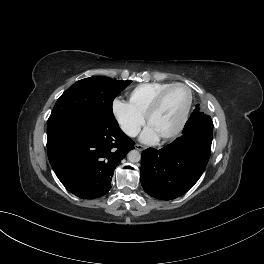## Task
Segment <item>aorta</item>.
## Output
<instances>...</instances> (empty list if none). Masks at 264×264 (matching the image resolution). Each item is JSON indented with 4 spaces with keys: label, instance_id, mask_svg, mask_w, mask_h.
I'll list each match as a JSON object with an SVG mask.
<instances>
[{
    "label": "aorta",
    "instance_id": "1",
    "mask_svg": "<svg viewBox=\"0 0 264 264\" xmlns=\"http://www.w3.org/2000/svg\"><path fill=\"white\" fill-rule=\"evenodd\" d=\"M128 160L132 163L139 162L141 160V154L137 150H131L128 155Z\"/></svg>",
    "mask_w": 264,
    "mask_h": 264
}]
</instances>
